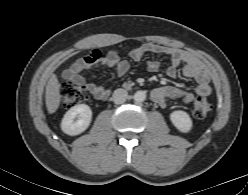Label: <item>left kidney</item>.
Returning a JSON list of instances; mask_svg holds the SVG:
<instances>
[{
  "instance_id": "1",
  "label": "left kidney",
  "mask_w": 248,
  "mask_h": 195,
  "mask_svg": "<svg viewBox=\"0 0 248 195\" xmlns=\"http://www.w3.org/2000/svg\"><path fill=\"white\" fill-rule=\"evenodd\" d=\"M170 120L172 124L183 133H187L192 129V120L185 111H173L170 114Z\"/></svg>"
}]
</instances>
